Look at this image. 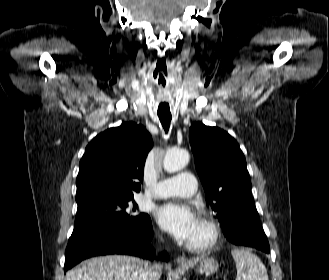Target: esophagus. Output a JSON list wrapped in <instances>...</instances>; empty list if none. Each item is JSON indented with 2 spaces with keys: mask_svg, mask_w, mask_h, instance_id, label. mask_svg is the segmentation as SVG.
<instances>
[{
  "mask_svg": "<svg viewBox=\"0 0 329 280\" xmlns=\"http://www.w3.org/2000/svg\"><path fill=\"white\" fill-rule=\"evenodd\" d=\"M177 262H178L180 265H187V264L190 263L189 259H188L186 256H184V255L178 257V258H177Z\"/></svg>",
  "mask_w": 329,
  "mask_h": 280,
  "instance_id": "1",
  "label": "esophagus"
}]
</instances>
